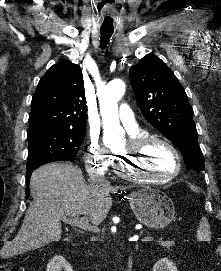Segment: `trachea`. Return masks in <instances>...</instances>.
<instances>
[{
  "instance_id": "obj_1",
  "label": "trachea",
  "mask_w": 221,
  "mask_h": 271,
  "mask_svg": "<svg viewBox=\"0 0 221 271\" xmlns=\"http://www.w3.org/2000/svg\"><path fill=\"white\" fill-rule=\"evenodd\" d=\"M113 27H103L100 29L101 33V49H104L109 42L110 37L113 34Z\"/></svg>"
}]
</instances>
